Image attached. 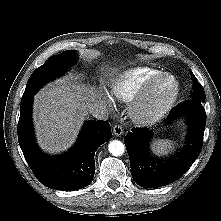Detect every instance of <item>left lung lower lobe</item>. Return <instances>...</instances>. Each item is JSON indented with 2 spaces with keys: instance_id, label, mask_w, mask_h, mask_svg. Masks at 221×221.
<instances>
[{
  "instance_id": "left-lung-lower-lobe-1",
  "label": "left lung lower lobe",
  "mask_w": 221,
  "mask_h": 221,
  "mask_svg": "<svg viewBox=\"0 0 221 221\" xmlns=\"http://www.w3.org/2000/svg\"><path fill=\"white\" fill-rule=\"evenodd\" d=\"M186 112L189 120L186 146L168 159L150 156L148 143L151 131L147 128L133 129L124 139L130 159L134 181L144 188L165 186L180 178L200 154L206 124V113L201 102L189 100L179 103L167 117L171 122Z\"/></svg>"
}]
</instances>
